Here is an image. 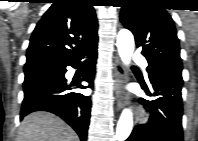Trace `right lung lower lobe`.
Returning a JSON list of instances; mask_svg holds the SVG:
<instances>
[{
  "mask_svg": "<svg viewBox=\"0 0 198 141\" xmlns=\"http://www.w3.org/2000/svg\"><path fill=\"white\" fill-rule=\"evenodd\" d=\"M97 41L89 44L69 62L25 73L24 100L20 119L34 111H48L64 119L78 133L81 140L86 141L91 99L89 96L68 91L73 86L81 89L92 88ZM86 54L93 59L90 69L82 78V81L88 82L89 86H83L80 82L68 85L65 79L66 67H77Z\"/></svg>",
  "mask_w": 198,
  "mask_h": 141,
  "instance_id": "98d812e1",
  "label": "right lung lower lobe"
}]
</instances>
